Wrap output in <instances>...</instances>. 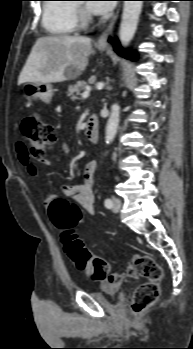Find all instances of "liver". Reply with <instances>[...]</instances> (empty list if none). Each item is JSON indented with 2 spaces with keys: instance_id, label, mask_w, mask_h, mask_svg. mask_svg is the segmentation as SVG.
Listing matches in <instances>:
<instances>
[{
  "instance_id": "obj_1",
  "label": "liver",
  "mask_w": 193,
  "mask_h": 349,
  "mask_svg": "<svg viewBox=\"0 0 193 349\" xmlns=\"http://www.w3.org/2000/svg\"><path fill=\"white\" fill-rule=\"evenodd\" d=\"M91 39L55 35L36 40L19 75L18 84L56 83L68 78V69L80 74L88 63Z\"/></svg>"
}]
</instances>
